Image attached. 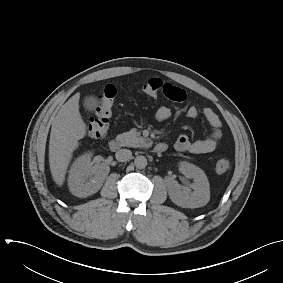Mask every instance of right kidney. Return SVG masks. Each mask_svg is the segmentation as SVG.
<instances>
[{"label": "right kidney", "instance_id": "ca27d5eb", "mask_svg": "<svg viewBox=\"0 0 283 283\" xmlns=\"http://www.w3.org/2000/svg\"><path fill=\"white\" fill-rule=\"evenodd\" d=\"M92 153L79 156L69 171L68 186L70 192L77 197L86 198L100 190L110 167L106 164L91 161Z\"/></svg>", "mask_w": 283, "mask_h": 283}]
</instances>
